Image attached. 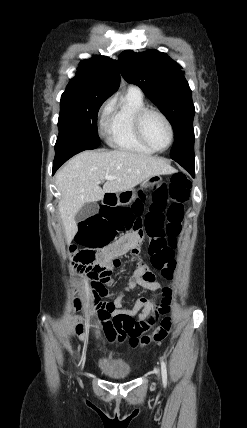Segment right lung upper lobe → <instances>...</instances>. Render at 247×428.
<instances>
[{
    "label": "right lung upper lobe",
    "mask_w": 247,
    "mask_h": 428,
    "mask_svg": "<svg viewBox=\"0 0 247 428\" xmlns=\"http://www.w3.org/2000/svg\"><path fill=\"white\" fill-rule=\"evenodd\" d=\"M77 75L71 79L62 95L89 93L111 96L120 85L117 62L106 56H94L80 63Z\"/></svg>",
    "instance_id": "cb5924a9"
}]
</instances>
